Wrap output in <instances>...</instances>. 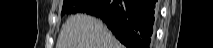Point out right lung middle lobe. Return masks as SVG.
<instances>
[{"label": "right lung middle lobe", "mask_w": 213, "mask_h": 48, "mask_svg": "<svg viewBox=\"0 0 213 48\" xmlns=\"http://www.w3.org/2000/svg\"><path fill=\"white\" fill-rule=\"evenodd\" d=\"M91 0H64L61 16L65 13L84 12Z\"/></svg>", "instance_id": "obj_1"}]
</instances>
